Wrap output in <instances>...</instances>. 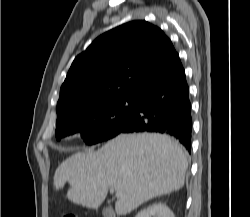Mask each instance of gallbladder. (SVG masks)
<instances>
[{"instance_id":"obj_1","label":"gallbladder","mask_w":250,"mask_h":217,"mask_svg":"<svg viewBox=\"0 0 250 217\" xmlns=\"http://www.w3.org/2000/svg\"><path fill=\"white\" fill-rule=\"evenodd\" d=\"M103 216L104 217H114V212L111 208H105L103 210Z\"/></svg>"}]
</instances>
